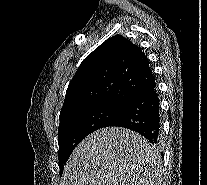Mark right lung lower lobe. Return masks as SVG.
<instances>
[{"label": "right lung lower lobe", "mask_w": 207, "mask_h": 185, "mask_svg": "<svg viewBox=\"0 0 207 185\" xmlns=\"http://www.w3.org/2000/svg\"><path fill=\"white\" fill-rule=\"evenodd\" d=\"M159 93L154 82L135 94L119 114L106 127L119 126L138 132L150 143L161 142V116Z\"/></svg>", "instance_id": "obj_1"}]
</instances>
